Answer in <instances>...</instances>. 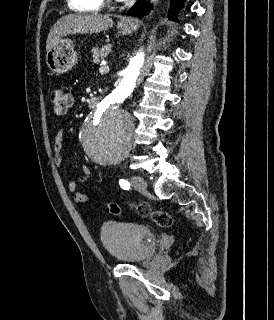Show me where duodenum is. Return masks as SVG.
Returning a JSON list of instances; mask_svg holds the SVG:
<instances>
[{"label":"duodenum","instance_id":"duodenum-1","mask_svg":"<svg viewBox=\"0 0 274 320\" xmlns=\"http://www.w3.org/2000/svg\"><path fill=\"white\" fill-rule=\"evenodd\" d=\"M100 99L97 96H92L89 98L88 104L90 107L95 108L98 106Z\"/></svg>","mask_w":274,"mask_h":320}]
</instances>
